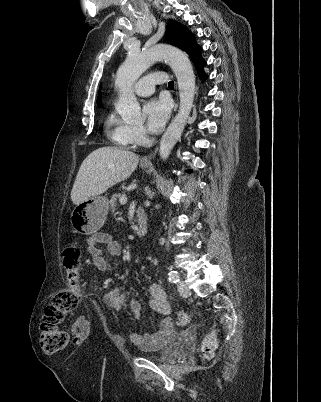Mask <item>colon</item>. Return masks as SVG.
Returning a JSON list of instances; mask_svg holds the SVG:
<instances>
[{
    "label": "colon",
    "instance_id": "obj_1",
    "mask_svg": "<svg viewBox=\"0 0 321 402\" xmlns=\"http://www.w3.org/2000/svg\"><path fill=\"white\" fill-rule=\"evenodd\" d=\"M64 265L67 270L69 287L56 292L51 303L46 307L41 323L40 344L42 350L47 354H54L67 347L69 334L61 327L66 316L74 312L78 305L77 292L82 291L80 284V251L75 243H69L64 251ZM176 321L179 326L188 323V315L179 311L176 314ZM217 340L215 332L206 336L202 342V352L207 359L215 356Z\"/></svg>",
    "mask_w": 321,
    "mask_h": 402
}]
</instances>
